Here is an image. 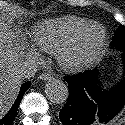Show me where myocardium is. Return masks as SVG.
Returning <instances> with one entry per match:
<instances>
[{"instance_id":"1","label":"myocardium","mask_w":125,"mask_h":125,"mask_svg":"<svg viewBox=\"0 0 125 125\" xmlns=\"http://www.w3.org/2000/svg\"><path fill=\"white\" fill-rule=\"evenodd\" d=\"M105 28L88 23L66 41L56 53L59 65L67 72H77L99 59L106 45Z\"/></svg>"}]
</instances>
